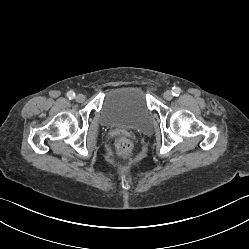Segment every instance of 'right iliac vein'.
I'll return each instance as SVG.
<instances>
[{
    "instance_id": "obj_1",
    "label": "right iliac vein",
    "mask_w": 249,
    "mask_h": 249,
    "mask_svg": "<svg viewBox=\"0 0 249 249\" xmlns=\"http://www.w3.org/2000/svg\"><path fill=\"white\" fill-rule=\"evenodd\" d=\"M76 101L81 103L85 100V96L83 94H78L76 97H75Z\"/></svg>"
}]
</instances>
